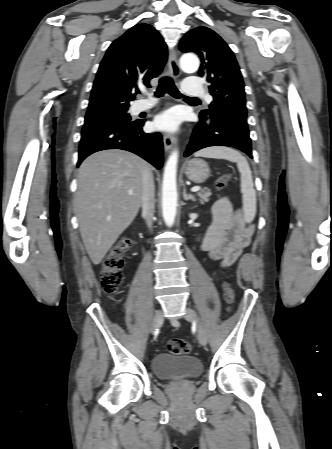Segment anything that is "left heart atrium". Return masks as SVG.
Segmentation results:
<instances>
[{
    "mask_svg": "<svg viewBox=\"0 0 332 449\" xmlns=\"http://www.w3.org/2000/svg\"><path fill=\"white\" fill-rule=\"evenodd\" d=\"M182 116L176 109H170L159 114L154 122L153 126L157 130L173 132L179 128Z\"/></svg>",
    "mask_w": 332,
    "mask_h": 449,
    "instance_id": "left-heart-atrium-1",
    "label": "left heart atrium"
}]
</instances>
